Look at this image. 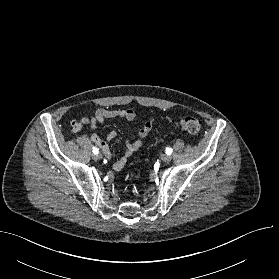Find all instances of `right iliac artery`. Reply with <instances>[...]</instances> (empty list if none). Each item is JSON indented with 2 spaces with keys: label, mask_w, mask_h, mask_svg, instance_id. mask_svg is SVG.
Segmentation results:
<instances>
[{
  "label": "right iliac artery",
  "mask_w": 279,
  "mask_h": 279,
  "mask_svg": "<svg viewBox=\"0 0 279 279\" xmlns=\"http://www.w3.org/2000/svg\"><path fill=\"white\" fill-rule=\"evenodd\" d=\"M98 152H99V149H97L96 147H93V153L98 154Z\"/></svg>",
  "instance_id": "82829eb1"
}]
</instances>
